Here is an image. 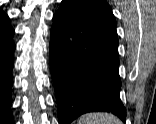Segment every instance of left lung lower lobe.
<instances>
[{"mask_svg": "<svg viewBox=\"0 0 156 124\" xmlns=\"http://www.w3.org/2000/svg\"><path fill=\"white\" fill-rule=\"evenodd\" d=\"M49 52L60 124L100 111L125 123L116 26L63 0L53 16Z\"/></svg>", "mask_w": 156, "mask_h": 124, "instance_id": "1", "label": "left lung lower lobe"}]
</instances>
